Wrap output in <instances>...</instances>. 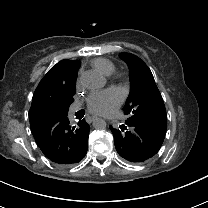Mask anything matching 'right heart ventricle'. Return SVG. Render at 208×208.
Returning a JSON list of instances; mask_svg holds the SVG:
<instances>
[{
  "mask_svg": "<svg viewBox=\"0 0 208 208\" xmlns=\"http://www.w3.org/2000/svg\"><path fill=\"white\" fill-rule=\"evenodd\" d=\"M92 66L106 77H111L116 72L115 65L110 60L105 58H98L93 60Z\"/></svg>",
  "mask_w": 208,
  "mask_h": 208,
  "instance_id": "obj_1",
  "label": "right heart ventricle"
}]
</instances>
